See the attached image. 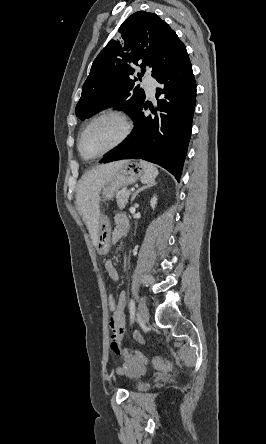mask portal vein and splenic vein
Returning <instances> with one entry per match:
<instances>
[{
  "instance_id": "obj_1",
  "label": "portal vein and splenic vein",
  "mask_w": 266,
  "mask_h": 444,
  "mask_svg": "<svg viewBox=\"0 0 266 444\" xmlns=\"http://www.w3.org/2000/svg\"><path fill=\"white\" fill-rule=\"evenodd\" d=\"M133 191H134V189H131V190H130V192H133Z\"/></svg>"
}]
</instances>
